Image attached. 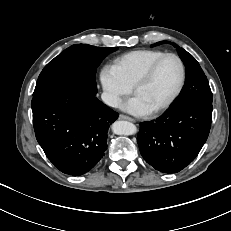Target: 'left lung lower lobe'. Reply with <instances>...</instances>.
I'll use <instances>...</instances> for the list:
<instances>
[{"label":"left lung lower lobe","mask_w":231,"mask_h":231,"mask_svg":"<svg viewBox=\"0 0 231 231\" xmlns=\"http://www.w3.org/2000/svg\"><path fill=\"white\" fill-rule=\"evenodd\" d=\"M212 103L171 105L159 118L140 123L137 142L147 163L163 173H177L198 155L211 127Z\"/></svg>","instance_id":"0a47b994"}]
</instances>
